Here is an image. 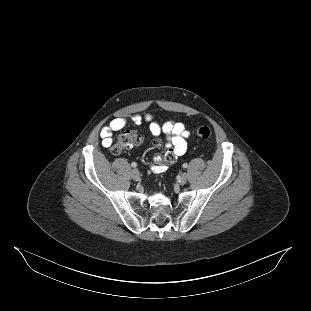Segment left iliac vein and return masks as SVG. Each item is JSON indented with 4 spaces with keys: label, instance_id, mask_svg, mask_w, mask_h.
<instances>
[{
    "label": "left iliac vein",
    "instance_id": "left-iliac-vein-1",
    "mask_svg": "<svg viewBox=\"0 0 311 311\" xmlns=\"http://www.w3.org/2000/svg\"><path fill=\"white\" fill-rule=\"evenodd\" d=\"M188 175L186 173H183L179 177V184L184 185L187 182Z\"/></svg>",
    "mask_w": 311,
    "mask_h": 311
}]
</instances>
